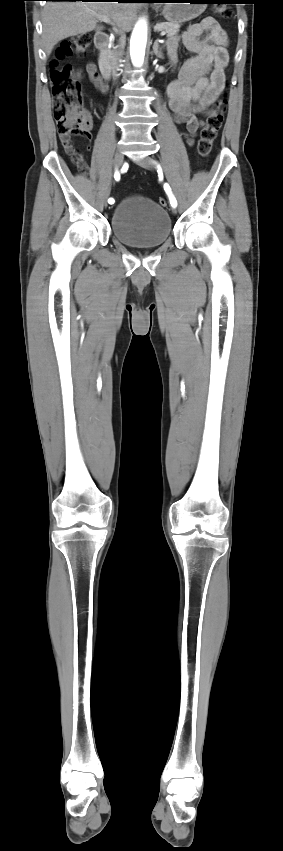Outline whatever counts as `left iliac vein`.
Returning <instances> with one entry per match:
<instances>
[{
    "label": "left iliac vein",
    "instance_id": "obj_1",
    "mask_svg": "<svg viewBox=\"0 0 283 851\" xmlns=\"http://www.w3.org/2000/svg\"><path fill=\"white\" fill-rule=\"evenodd\" d=\"M137 164L140 165L141 167H143L145 169H149V170H152V169L155 168L154 162L149 157H145V158L137 160ZM172 212L173 213L177 212L175 207L172 208Z\"/></svg>",
    "mask_w": 283,
    "mask_h": 851
}]
</instances>
